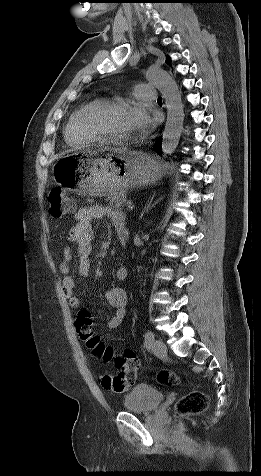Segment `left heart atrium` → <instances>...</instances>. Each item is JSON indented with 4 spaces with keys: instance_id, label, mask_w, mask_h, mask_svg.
Wrapping results in <instances>:
<instances>
[{
    "instance_id": "obj_1",
    "label": "left heart atrium",
    "mask_w": 261,
    "mask_h": 476,
    "mask_svg": "<svg viewBox=\"0 0 261 476\" xmlns=\"http://www.w3.org/2000/svg\"><path fill=\"white\" fill-rule=\"evenodd\" d=\"M131 123L133 131L144 135L154 128L155 119L149 116L143 106L136 105L131 109Z\"/></svg>"
}]
</instances>
